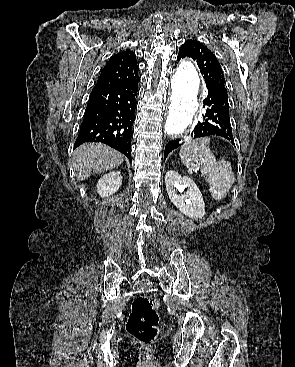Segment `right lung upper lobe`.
Wrapping results in <instances>:
<instances>
[{
    "mask_svg": "<svg viewBox=\"0 0 295 367\" xmlns=\"http://www.w3.org/2000/svg\"><path fill=\"white\" fill-rule=\"evenodd\" d=\"M135 53L125 51L115 54L104 66L96 85L121 86L139 81Z\"/></svg>",
    "mask_w": 295,
    "mask_h": 367,
    "instance_id": "cb5924a9",
    "label": "right lung upper lobe"
}]
</instances>
